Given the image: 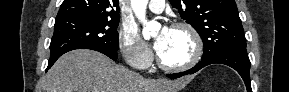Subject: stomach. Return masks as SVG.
<instances>
[{
	"label": "stomach",
	"instance_id": "obj_1",
	"mask_svg": "<svg viewBox=\"0 0 289 92\" xmlns=\"http://www.w3.org/2000/svg\"><path fill=\"white\" fill-rule=\"evenodd\" d=\"M167 92H176V91H167Z\"/></svg>",
	"mask_w": 289,
	"mask_h": 92
}]
</instances>
